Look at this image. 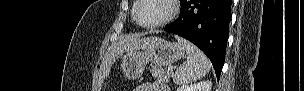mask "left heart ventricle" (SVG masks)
<instances>
[{
  "mask_svg": "<svg viewBox=\"0 0 304 91\" xmlns=\"http://www.w3.org/2000/svg\"><path fill=\"white\" fill-rule=\"evenodd\" d=\"M170 7L165 0H143L138 18L143 24H153L165 18Z\"/></svg>",
  "mask_w": 304,
  "mask_h": 91,
  "instance_id": "obj_1",
  "label": "left heart ventricle"
}]
</instances>
